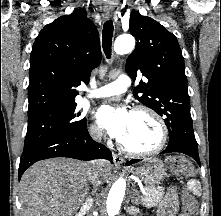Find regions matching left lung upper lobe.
<instances>
[{"label":"left lung upper lobe","instance_id":"left-lung-upper-lobe-1","mask_svg":"<svg viewBox=\"0 0 221 216\" xmlns=\"http://www.w3.org/2000/svg\"><path fill=\"white\" fill-rule=\"evenodd\" d=\"M129 30L136 38L135 50L126 61V72L139 82L134 95L159 115L169 129V145L198 148L190 114V98L184 59L176 37L157 21L133 11Z\"/></svg>","mask_w":221,"mask_h":216}]
</instances>
